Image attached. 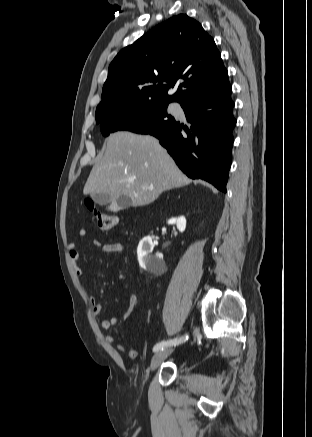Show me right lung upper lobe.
<instances>
[{
  "label": "right lung upper lobe",
  "instance_id": "1",
  "mask_svg": "<svg viewBox=\"0 0 312 437\" xmlns=\"http://www.w3.org/2000/svg\"><path fill=\"white\" fill-rule=\"evenodd\" d=\"M227 74L213 38L196 20L179 14L117 54L108 69L96 120L129 105L181 104ZM178 80L184 82L178 85ZM175 85L177 92L168 95Z\"/></svg>",
  "mask_w": 312,
  "mask_h": 437
}]
</instances>
